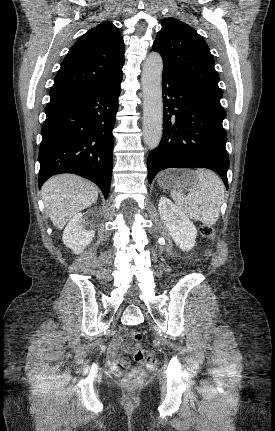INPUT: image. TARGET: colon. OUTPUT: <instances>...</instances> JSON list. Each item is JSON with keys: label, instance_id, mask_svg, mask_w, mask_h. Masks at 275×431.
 Returning <instances> with one entry per match:
<instances>
[{"label": "colon", "instance_id": "1", "mask_svg": "<svg viewBox=\"0 0 275 431\" xmlns=\"http://www.w3.org/2000/svg\"><path fill=\"white\" fill-rule=\"evenodd\" d=\"M201 233L208 237L212 238L215 234V229L210 226H202ZM127 341L134 340L140 341L142 339V335L138 331H130L126 336ZM133 355L136 361L142 362L147 367H152L156 363V356L152 352H146L140 345H136L133 348ZM125 368L124 364H119L116 373L122 374ZM145 377V372L142 367H136L129 370L123 377L122 383L128 389H136L143 384Z\"/></svg>", "mask_w": 275, "mask_h": 431}]
</instances>
